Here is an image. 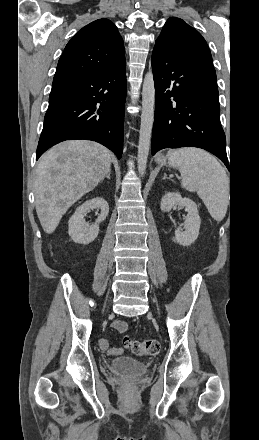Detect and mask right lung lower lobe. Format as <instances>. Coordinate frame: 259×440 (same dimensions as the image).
Listing matches in <instances>:
<instances>
[{"label": "right lung lower lobe", "instance_id": "right-lung-lower-lobe-1", "mask_svg": "<svg viewBox=\"0 0 259 440\" xmlns=\"http://www.w3.org/2000/svg\"><path fill=\"white\" fill-rule=\"evenodd\" d=\"M126 93L125 61L89 76L53 82L36 160L50 147L77 139L101 143L120 159Z\"/></svg>", "mask_w": 259, "mask_h": 440}]
</instances>
